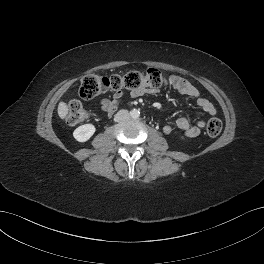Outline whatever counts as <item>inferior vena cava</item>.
<instances>
[{"label":"inferior vena cava","instance_id":"inferior-vena-cava-1","mask_svg":"<svg viewBox=\"0 0 264 264\" xmlns=\"http://www.w3.org/2000/svg\"><path fill=\"white\" fill-rule=\"evenodd\" d=\"M130 116L128 110H120L117 112V114L114 117L115 122L123 121L128 119Z\"/></svg>","mask_w":264,"mask_h":264}]
</instances>
